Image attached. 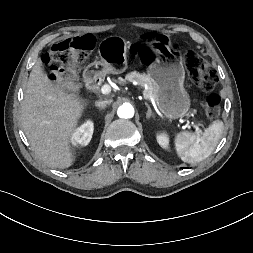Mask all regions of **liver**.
Returning <instances> with one entry per match:
<instances>
[{"instance_id":"6515ba94","label":"liver","mask_w":253,"mask_h":253,"mask_svg":"<svg viewBox=\"0 0 253 253\" xmlns=\"http://www.w3.org/2000/svg\"><path fill=\"white\" fill-rule=\"evenodd\" d=\"M87 100L68 94L36 63L22 102L21 125L35 155L51 168L70 167L75 158L71 137Z\"/></svg>"}]
</instances>
